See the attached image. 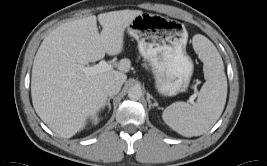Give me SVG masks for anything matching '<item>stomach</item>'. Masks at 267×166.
<instances>
[{"mask_svg":"<svg viewBox=\"0 0 267 166\" xmlns=\"http://www.w3.org/2000/svg\"><path fill=\"white\" fill-rule=\"evenodd\" d=\"M128 33L149 62L162 96H175L187 89L194 65L186 53L188 33L180 22L144 12L133 19Z\"/></svg>","mask_w":267,"mask_h":166,"instance_id":"0dacf381","label":"stomach"}]
</instances>
